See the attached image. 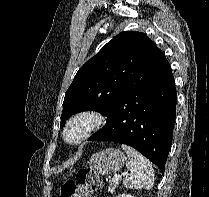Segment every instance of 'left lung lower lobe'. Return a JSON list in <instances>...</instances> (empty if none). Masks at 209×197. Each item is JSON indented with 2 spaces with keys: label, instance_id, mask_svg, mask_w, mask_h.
<instances>
[{
  "label": "left lung lower lobe",
  "instance_id": "obj_1",
  "mask_svg": "<svg viewBox=\"0 0 209 197\" xmlns=\"http://www.w3.org/2000/svg\"><path fill=\"white\" fill-rule=\"evenodd\" d=\"M177 93L171 67L164 55L154 61L107 115L106 125L89 141H114L129 145L164 173L172 144Z\"/></svg>",
  "mask_w": 209,
  "mask_h": 197
}]
</instances>
